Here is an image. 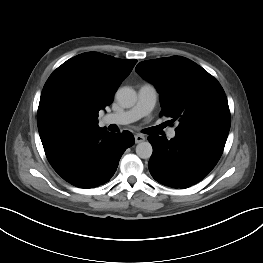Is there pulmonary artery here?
Returning <instances> with one entry per match:
<instances>
[{
    "label": "pulmonary artery",
    "mask_w": 263,
    "mask_h": 263,
    "mask_svg": "<svg viewBox=\"0 0 263 263\" xmlns=\"http://www.w3.org/2000/svg\"><path fill=\"white\" fill-rule=\"evenodd\" d=\"M157 96V90L152 84H143L138 90V99L132 108L107 114L103 117V122L105 124L125 125L137 121L153 110ZM175 136V129L171 128L168 131V137L172 139Z\"/></svg>",
    "instance_id": "1"
}]
</instances>
